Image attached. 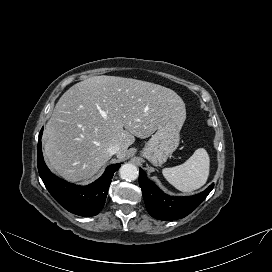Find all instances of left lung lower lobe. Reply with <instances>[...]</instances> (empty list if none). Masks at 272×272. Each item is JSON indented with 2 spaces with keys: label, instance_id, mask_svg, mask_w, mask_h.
Listing matches in <instances>:
<instances>
[{
  "label": "left lung lower lobe",
  "instance_id": "left-lung-lower-lobe-1",
  "mask_svg": "<svg viewBox=\"0 0 272 272\" xmlns=\"http://www.w3.org/2000/svg\"><path fill=\"white\" fill-rule=\"evenodd\" d=\"M139 184L149 214L159 220L180 219L194 211L214 187L211 184L205 191L195 196L173 197L161 191L140 168Z\"/></svg>",
  "mask_w": 272,
  "mask_h": 272
}]
</instances>
